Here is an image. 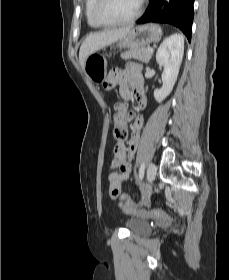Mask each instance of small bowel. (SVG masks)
I'll return each instance as SVG.
<instances>
[{"label": "small bowel", "instance_id": "c3829d8e", "mask_svg": "<svg viewBox=\"0 0 229 280\" xmlns=\"http://www.w3.org/2000/svg\"><path fill=\"white\" fill-rule=\"evenodd\" d=\"M116 86L123 97H126L130 90H133L137 108L142 110L146 107L147 97L145 94L144 79L141 74L140 65L130 63L125 69L112 70L106 79L105 88L107 90H112ZM115 109L117 113L125 112L128 115L126 105L123 103H117ZM143 126L144 119L142 117L135 118L129 146L126 147L121 141L114 146L113 157L110 163V169L112 171L108 176V185L110 188H117L120 192L123 181L130 177L132 166L129 160L137 151L138 141Z\"/></svg>", "mask_w": 229, "mask_h": 280}]
</instances>
